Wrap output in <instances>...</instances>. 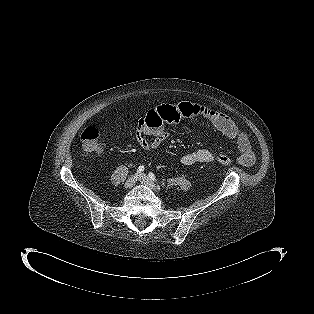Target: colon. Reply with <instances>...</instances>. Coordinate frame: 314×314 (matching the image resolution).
Masks as SVG:
<instances>
[{
  "label": "colon",
  "mask_w": 314,
  "mask_h": 314,
  "mask_svg": "<svg viewBox=\"0 0 314 314\" xmlns=\"http://www.w3.org/2000/svg\"><path fill=\"white\" fill-rule=\"evenodd\" d=\"M101 136V130L98 127H87L81 134V147L83 152L88 155L100 153L103 149ZM216 161L222 165L231 164L230 157L225 154H217Z\"/></svg>",
  "instance_id": "1"
}]
</instances>
